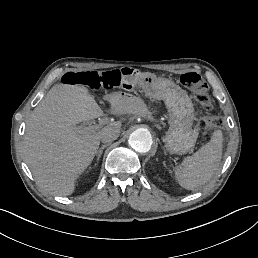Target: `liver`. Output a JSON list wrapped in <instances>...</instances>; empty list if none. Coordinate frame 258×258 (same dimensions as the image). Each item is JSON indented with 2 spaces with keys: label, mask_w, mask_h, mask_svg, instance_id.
<instances>
[{
  "label": "liver",
  "mask_w": 258,
  "mask_h": 258,
  "mask_svg": "<svg viewBox=\"0 0 258 258\" xmlns=\"http://www.w3.org/2000/svg\"><path fill=\"white\" fill-rule=\"evenodd\" d=\"M113 112H146L142 100L110 98ZM102 109L87 89L78 85L52 87L26 122L23 157L37 183L53 195L73 191L76 175L88 166L99 146L100 132L80 129L76 124L102 116ZM110 122L107 127L118 128Z\"/></svg>",
  "instance_id": "liver-1"
}]
</instances>
